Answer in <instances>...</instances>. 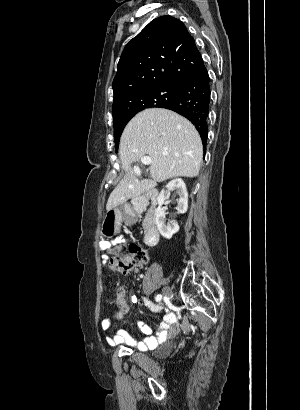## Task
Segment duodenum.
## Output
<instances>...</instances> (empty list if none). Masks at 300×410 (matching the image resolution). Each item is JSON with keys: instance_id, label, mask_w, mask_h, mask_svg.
Instances as JSON below:
<instances>
[{"instance_id": "obj_1", "label": "duodenum", "mask_w": 300, "mask_h": 410, "mask_svg": "<svg viewBox=\"0 0 300 410\" xmlns=\"http://www.w3.org/2000/svg\"><path fill=\"white\" fill-rule=\"evenodd\" d=\"M158 198V191L152 190L148 194V199H150V206L146 207L142 204L141 201L136 200L135 205L138 211H145L146 212V225H145V232H144V242L147 246L153 247L158 243L159 240V230L157 227L156 221V213L154 207L152 206Z\"/></svg>"}]
</instances>
